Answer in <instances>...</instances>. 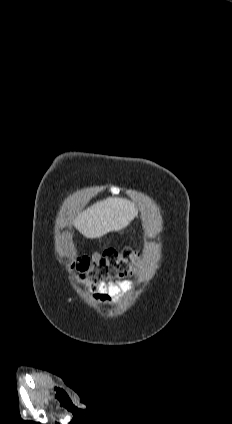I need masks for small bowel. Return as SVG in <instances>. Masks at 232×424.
<instances>
[{
    "instance_id": "c3829d8e",
    "label": "small bowel",
    "mask_w": 232,
    "mask_h": 424,
    "mask_svg": "<svg viewBox=\"0 0 232 424\" xmlns=\"http://www.w3.org/2000/svg\"><path fill=\"white\" fill-rule=\"evenodd\" d=\"M131 288L132 284L126 281L101 282L89 286V290L92 292V298L102 307H108L118 303L122 295Z\"/></svg>"
}]
</instances>
